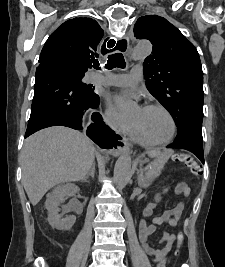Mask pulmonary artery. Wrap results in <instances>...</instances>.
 Masks as SVG:
<instances>
[{"instance_id": "e3ab8cb5", "label": "pulmonary artery", "mask_w": 225, "mask_h": 267, "mask_svg": "<svg viewBox=\"0 0 225 267\" xmlns=\"http://www.w3.org/2000/svg\"><path fill=\"white\" fill-rule=\"evenodd\" d=\"M143 78V70L141 65H134L129 74H106L95 72L91 81L120 87H134Z\"/></svg>"}]
</instances>
